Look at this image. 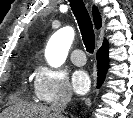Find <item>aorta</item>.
I'll list each match as a JSON object with an SVG mask.
<instances>
[{
  "mask_svg": "<svg viewBox=\"0 0 133 118\" xmlns=\"http://www.w3.org/2000/svg\"><path fill=\"white\" fill-rule=\"evenodd\" d=\"M74 36L72 27L61 28L52 36L51 46L46 52V60L52 67H60L65 62Z\"/></svg>",
  "mask_w": 133,
  "mask_h": 118,
  "instance_id": "obj_1",
  "label": "aorta"
}]
</instances>
